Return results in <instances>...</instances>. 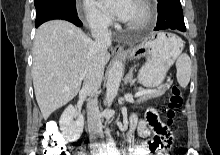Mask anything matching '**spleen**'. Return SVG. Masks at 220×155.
I'll list each match as a JSON object with an SVG mask.
<instances>
[{
	"mask_svg": "<svg viewBox=\"0 0 220 155\" xmlns=\"http://www.w3.org/2000/svg\"><path fill=\"white\" fill-rule=\"evenodd\" d=\"M176 68L177 81L182 88H186L192 74V62L186 53H183L178 57Z\"/></svg>",
	"mask_w": 220,
	"mask_h": 155,
	"instance_id": "spleen-1",
	"label": "spleen"
}]
</instances>
